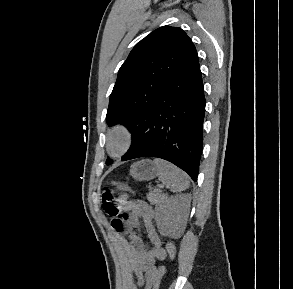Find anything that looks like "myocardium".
Listing matches in <instances>:
<instances>
[{
	"label": "myocardium",
	"mask_w": 293,
	"mask_h": 289,
	"mask_svg": "<svg viewBox=\"0 0 293 289\" xmlns=\"http://www.w3.org/2000/svg\"><path fill=\"white\" fill-rule=\"evenodd\" d=\"M116 139L120 140V146L117 149H114L112 144L113 141ZM133 140L134 132L131 126L122 122L117 123L114 126H112L107 133V151L112 157H120L130 149Z\"/></svg>",
	"instance_id": "f54148a6"
}]
</instances>
